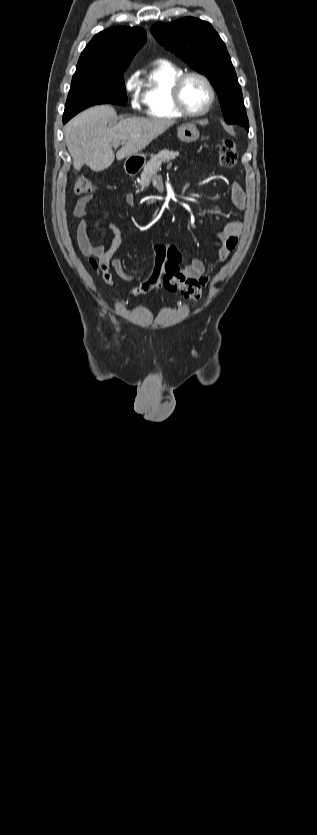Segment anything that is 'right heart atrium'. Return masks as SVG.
<instances>
[{
  "mask_svg": "<svg viewBox=\"0 0 317 835\" xmlns=\"http://www.w3.org/2000/svg\"><path fill=\"white\" fill-rule=\"evenodd\" d=\"M137 85H138V82H137L136 74H131L125 81V89L128 93H134L137 89ZM140 105H141V102L136 97H133L131 99L132 108L139 109Z\"/></svg>",
  "mask_w": 317,
  "mask_h": 835,
  "instance_id": "d8ad5b80",
  "label": "right heart atrium"
}]
</instances>
